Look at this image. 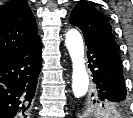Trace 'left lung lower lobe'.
<instances>
[{"label":"left lung lower lobe","instance_id":"obj_1","mask_svg":"<svg viewBox=\"0 0 133 118\" xmlns=\"http://www.w3.org/2000/svg\"><path fill=\"white\" fill-rule=\"evenodd\" d=\"M85 43L88 49L89 68L95 83L93 96L98 102L126 103L122 61L118 52L107 49L90 39L85 38Z\"/></svg>","mask_w":133,"mask_h":118}]
</instances>
